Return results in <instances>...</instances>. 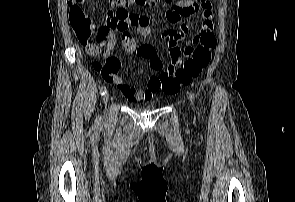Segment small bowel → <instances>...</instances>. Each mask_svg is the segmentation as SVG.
Instances as JSON below:
<instances>
[{
	"label": "small bowel",
	"mask_w": 295,
	"mask_h": 202,
	"mask_svg": "<svg viewBox=\"0 0 295 202\" xmlns=\"http://www.w3.org/2000/svg\"><path fill=\"white\" fill-rule=\"evenodd\" d=\"M86 0H69L70 7L82 8ZM200 12L202 18V31L213 29V12L212 4L210 0H177L175 6L167 8V18L171 23H179L182 17H191L194 14ZM130 14V13H129ZM135 15V14H131ZM139 17L138 32L139 35L146 39L151 35V27L149 25V18L146 15H137ZM119 22L116 19V12L110 10L107 12V16L103 25L98 30V41L95 44L87 45V52L92 56H96L100 53L101 48L105 47L106 52L104 56L109 58L111 51L114 48L115 39L112 33V28L118 26ZM122 29V44L126 53L133 54L137 52L142 57L146 58L150 62L151 69L154 72L160 73L164 68V61L158 54L157 49L150 44L137 47V44L132 34L126 29ZM182 31L186 33L188 28L182 27ZM164 40L167 42V51L170 63L176 62L181 54L193 47V44L187 43L182 51V46L179 43L177 34L173 32H166L163 35ZM122 59H104V63H95V70L105 78L114 84H116L124 93L125 97L129 100L142 101L150 100L155 95L149 87L146 89H135L127 85L122 79L116 75H120ZM100 68V69H99Z\"/></svg>",
	"instance_id": "obj_1"
}]
</instances>
